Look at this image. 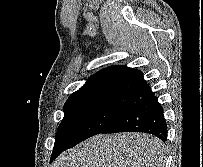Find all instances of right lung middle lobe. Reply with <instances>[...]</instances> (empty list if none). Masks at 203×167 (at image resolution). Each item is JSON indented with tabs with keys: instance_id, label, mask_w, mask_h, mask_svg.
<instances>
[{
	"instance_id": "obj_1",
	"label": "right lung middle lobe",
	"mask_w": 203,
	"mask_h": 167,
	"mask_svg": "<svg viewBox=\"0 0 203 167\" xmlns=\"http://www.w3.org/2000/svg\"><path fill=\"white\" fill-rule=\"evenodd\" d=\"M130 106L105 100H78L64 105V118L56 132L55 143L71 148L102 133Z\"/></svg>"
}]
</instances>
